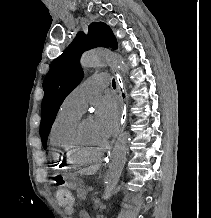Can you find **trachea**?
<instances>
[{"label": "trachea", "instance_id": "trachea-1", "mask_svg": "<svg viewBox=\"0 0 211 218\" xmlns=\"http://www.w3.org/2000/svg\"><path fill=\"white\" fill-rule=\"evenodd\" d=\"M112 86H113V88H115V80L114 79L112 80Z\"/></svg>", "mask_w": 211, "mask_h": 218}]
</instances>
